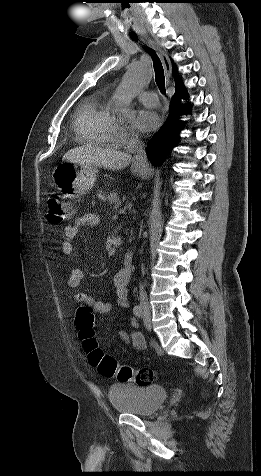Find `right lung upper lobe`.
<instances>
[{
    "instance_id": "obj_1",
    "label": "right lung upper lobe",
    "mask_w": 261,
    "mask_h": 476,
    "mask_svg": "<svg viewBox=\"0 0 261 476\" xmlns=\"http://www.w3.org/2000/svg\"><path fill=\"white\" fill-rule=\"evenodd\" d=\"M175 70H176V67L173 66V72H174V73H175ZM175 80H176V82H177V85H179V84H180V80H179L178 78H176Z\"/></svg>"
}]
</instances>
